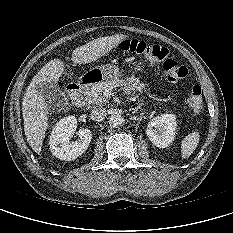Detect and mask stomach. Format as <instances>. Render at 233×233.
<instances>
[{"label": "stomach", "instance_id": "0dacf381", "mask_svg": "<svg viewBox=\"0 0 233 233\" xmlns=\"http://www.w3.org/2000/svg\"><path fill=\"white\" fill-rule=\"evenodd\" d=\"M138 68H141L140 64L135 69ZM89 75L93 77V81L96 83L118 81L123 76L119 67L113 64L94 68L89 72Z\"/></svg>", "mask_w": 233, "mask_h": 233}]
</instances>
